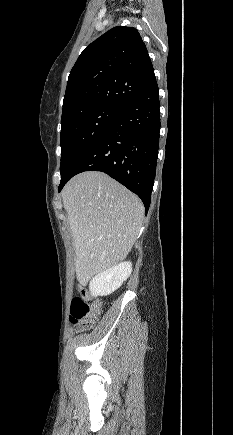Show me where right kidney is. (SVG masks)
Returning <instances> with one entry per match:
<instances>
[{
	"instance_id": "1",
	"label": "right kidney",
	"mask_w": 233,
	"mask_h": 435,
	"mask_svg": "<svg viewBox=\"0 0 233 435\" xmlns=\"http://www.w3.org/2000/svg\"><path fill=\"white\" fill-rule=\"evenodd\" d=\"M132 272L131 262H121L96 275L89 284L92 296H107L117 290Z\"/></svg>"
}]
</instances>
